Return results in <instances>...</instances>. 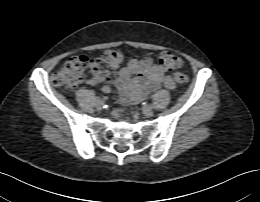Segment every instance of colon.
<instances>
[{
    "mask_svg": "<svg viewBox=\"0 0 260 202\" xmlns=\"http://www.w3.org/2000/svg\"><path fill=\"white\" fill-rule=\"evenodd\" d=\"M125 58V52L121 49L106 50L101 58L90 55L75 56L53 73L51 82L55 86L72 89L96 71L120 67ZM158 64L163 69L175 70L181 67L182 59L171 52L163 51L158 55ZM174 80L179 84L186 85L189 82V77L184 73L175 72Z\"/></svg>",
    "mask_w": 260,
    "mask_h": 202,
    "instance_id": "1",
    "label": "colon"
}]
</instances>
